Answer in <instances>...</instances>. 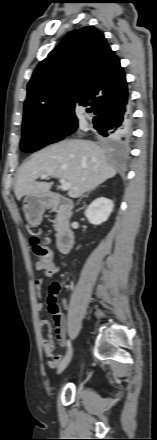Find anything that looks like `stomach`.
<instances>
[{
	"instance_id": "stomach-1",
	"label": "stomach",
	"mask_w": 157,
	"mask_h": 440,
	"mask_svg": "<svg viewBox=\"0 0 157 440\" xmlns=\"http://www.w3.org/2000/svg\"><path fill=\"white\" fill-rule=\"evenodd\" d=\"M47 207V200L43 196L28 195L23 201V210L27 222L31 226H37L41 223L42 215Z\"/></svg>"
}]
</instances>
